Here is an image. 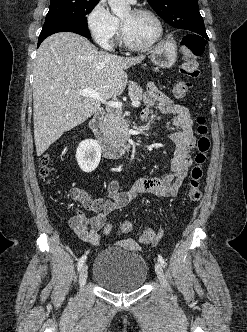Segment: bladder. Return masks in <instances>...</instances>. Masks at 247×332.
Segmentation results:
<instances>
[{
	"label": "bladder",
	"instance_id": "bladder-1",
	"mask_svg": "<svg viewBox=\"0 0 247 332\" xmlns=\"http://www.w3.org/2000/svg\"><path fill=\"white\" fill-rule=\"evenodd\" d=\"M147 276L146 261L130 244H116L103 249L93 266V279L114 293L139 290Z\"/></svg>",
	"mask_w": 247,
	"mask_h": 332
}]
</instances>
